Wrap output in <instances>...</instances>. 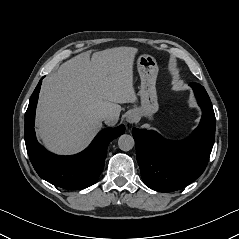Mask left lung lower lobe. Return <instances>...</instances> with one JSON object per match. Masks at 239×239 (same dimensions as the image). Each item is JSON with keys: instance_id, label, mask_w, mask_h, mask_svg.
Returning <instances> with one entry per match:
<instances>
[{"instance_id": "1", "label": "left lung lower lobe", "mask_w": 239, "mask_h": 239, "mask_svg": "<svg viewBox=\"0 0 239 239\" xmlns=\"http://www.w3.org/2000/svg\"><path fill=\"white\" fill-rule=\"evenodd\" d=\"M190 86L203 114L199 126L188 138L169 141L152 130L132 131L143 182L155 191L171 192L186 187L208 164L215 138V114L204 87L198 83Z\"/></svg>"}]
</instances>
